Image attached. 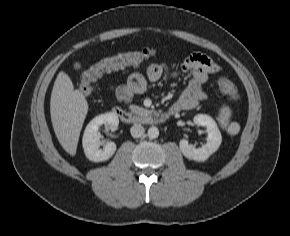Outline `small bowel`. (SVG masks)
Segmentation results:
<instances>
[{"instance_id":"1","label":"small bowel","mask_w":290,"mask_h":236,"mask_svg":"<svg viewBox=\"0 0 290 236\" xmlns=\"http://www.w3.org/2000/svg\"><path fill=\"white\" fill-rule=\"evenodd\" d=\"M221 67L203 53H192L176 66L171 62L151 63L143 72L130 75L126 84L110 86L115 99L121 103H129L135 95L146 92L149 82H156L166 74H190L191 78L180 98L169 108L171 113L193 109L206 99L203 86L212 74L219 73Z\"/></svg>"}]
</instances>
